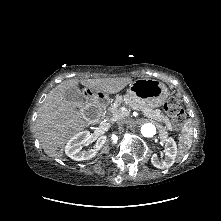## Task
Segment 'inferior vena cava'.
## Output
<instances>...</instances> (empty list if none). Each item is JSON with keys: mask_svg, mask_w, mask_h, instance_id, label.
<instances>
[{"mask_svg": "<svg viewBox=\"0 0 221 221\" xmlns=\"http://www.w3.org/2000/svg\"><path fill=\"white\" fill-rule=\"evenodd\" d=\"M117 123H123V118H118V121H117Z\"/></svg>", "mask_w": 221, "mask_h": 221, "instance_id": "obj_1", "label": "inferior vena cava"}]
</instances>
